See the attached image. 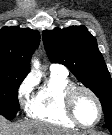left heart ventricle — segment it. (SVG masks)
Masks as SVG:
<instances>
[{
  "label": "left heart ventricle",
  "mask_w": 112,
  "mask_h": 135,
  "mask_svg": "<svg viewBox=\"0 0 112 135\" xmlns=\"http://www.w3.org/2000/svg\"><path fill=\"white\" fill-rule=\"evenodd\" d=\"M74 108L79 120L86 125L94 123L98 117V108L93 98L80 91L74 98Z\"/></svg>",
  "instance_id": "1"
}]
</instances>
